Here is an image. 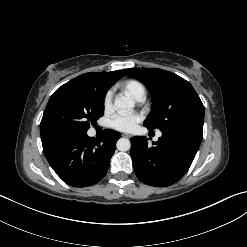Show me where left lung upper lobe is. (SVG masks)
Listing matches in <instances>:
<instances>
[{
	"mask_svg": "<svg viewBox=\"0 0 247 247\" xmlns=\"http://www.w3.org/2000/svg\"><path fill=\"white\" fill-rule=\"evenodd\" d=\"M144 83L152 98L151 112L144 121L150 130L184 132L202 140L204 106L192 85L182 77L157 68L124 69Z\"/></svg>",
	"mask_w": 247,
	"mask_h": 247,
	"instance_id": "left-lung-upper-lobe-1",
	"label": "left lung upper lobe"
}]
</instances>
